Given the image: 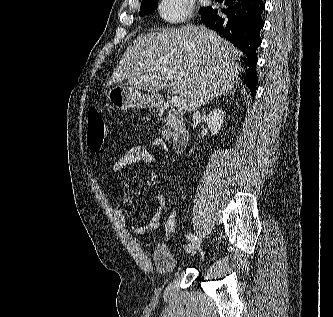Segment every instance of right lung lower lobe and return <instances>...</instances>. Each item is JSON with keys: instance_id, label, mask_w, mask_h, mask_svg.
Listing matches in <instances>:
<instances>
[{"instance_id": "right-lung-lower-lobe-1", "label": "right lung lower lobe", "mask_w": 333, "mask_h": 317, "mask_svg": "<svg viewBox=\"0 0 333 317\" xmlns=\"http://www.w3.org/2000/svg\"><path fill=\"white\" fill-rule=\"evenodd\" d=\"M225 4L228 8L221 10L225 17L218 16L217 10L208 7L200 11L201 18L206 27L218 32L246 54L245 72L240 78L254 99L258 84L256 50L261 44L260 31L264 26L261 15L265 4L263 0H225Z\"/></svg>"}]
</instances>
